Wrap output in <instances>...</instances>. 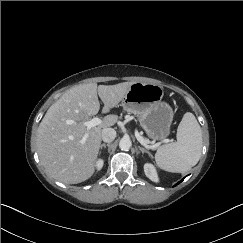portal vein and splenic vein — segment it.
<instances>
[{
    "instance_id": "18ae733b",
    "label": "portal vein and splenic vein",
    "mask_w": 243,
    "mask_h": 243,
    "mask_svg": "<svg viewBox=\"0 0 243 243\" xmlns=\"http://www.w3.org/2000/svg\"><path fill=\"white\" fill-rule=\"evenodd\" d=\"M69 123H71V122H69ZM101 123H102V121H101L100 118H98V117H93L90 121H86V122H84V126H86L87 129H90V128H92V127H95V126H97V125H100ZM135 136H136L137 140H138L143 146H145V147L148 148V149H154V146H150V145H148L147 140H145L142 136H140L139 133L136 132V133H135ZM85 138H86V136L84 137L83 141H85Z\"/></svg>"
}]
</instances>
